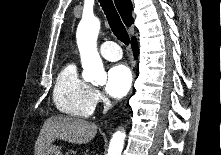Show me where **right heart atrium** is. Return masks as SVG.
I'll list each match as a JSON object with an SVG mask.
<instances>
[{
	"label": "right heart atrium",
	"mask_w": 221,
	"mask_h": 155,
	"mask_svg": "<svg viewBox=\"0 0 221 155\" xmlns=\"http://www.w3.org/2000/svg\"><path fill=\"white\" fill-rule=\"evenodd\" d=\"M92 95L95 103H98L102 99V95L97 89L92 90Z\"/></svg>",
	"instance_id": "obj_1"
}]
</instances>
